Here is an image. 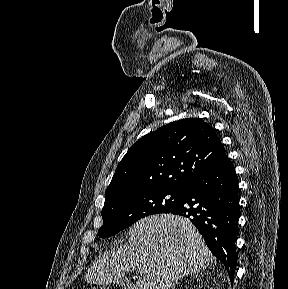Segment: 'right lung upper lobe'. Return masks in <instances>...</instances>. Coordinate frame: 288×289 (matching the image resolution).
Listing matches in <instances>:
<instances>
[{"instance_id":"1","label":"right lung upper lobe","mask_w":288,"mask_h":289,"mask_svg":"<svg viewBox=\"0 0 288 289\" xmlns=\"http://www.w3.org/2000/svg\"><path fill=\"white\" fill-rule=\"evenodd\" d=\"M225 155L202 119L172 122L138 140L118 164L106 197L135 190L183 188Z\"/></svg>"}]
</instances>
